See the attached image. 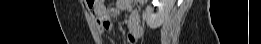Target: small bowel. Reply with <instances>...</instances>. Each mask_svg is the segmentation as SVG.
I'll return each instance as SVG.
<instances>
[{
    "label": "small bowel",
    "mask_w": 261,
    "mask_h": 44,
    "mask_svg": "<svg viewBox=\"0 0 261 44\" xmlns=\"http://www.w3.org/2000/svg\"><path fill=\"white\" fill-rule=\"evenodd\" d=\"M130 4V1L127 0H118L112 7H107L104 4H98L94 6L93 17L97 23L99 33L106 34L110 32L113 28L112 21L108 18L110 15L113 18H116L122 10L127 8ZM127 41L128 43H135L143 35V27L140 23V14L139 9L134 7L127 23Z\"/></svg>",
    "instance_id": "obj_1"
}]
</instances>
